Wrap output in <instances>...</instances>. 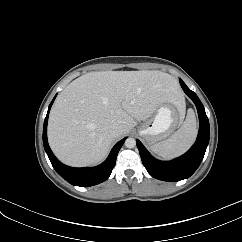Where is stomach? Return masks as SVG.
<instances>
[{
    "label": "stomach",
    "instance_id": "stomach-1",
    "mask_svg": "<svg viewBox=\"0 0 242 242\" xmlns=\"http://www.w3.org/2000/svg\"><path fill=\"white\" fill-rule=\"evenodd\" d=\"M184 113V110L178 109L174 104H162L152 118L138 127V133L149 145H154L181 125Z\"/></svg>",
    "mask_w": 242,
    "mask_h": 242
}]
</instances>
